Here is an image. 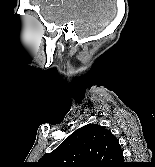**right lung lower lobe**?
Wrapping results in <instances>:
<instances>
[{
    "label": "right lung lower lobe",
    "mask_w": 155,
    "mask_h": 167,
    "mask_svg": "<svg viewBox=\"0 0 155 167\" xmlns=\"http://www.w3.org/2000/svg\"><path fill=\"white\" fill-rule=\"evenodd\" d=\"M127 164L126 163H123L122 165H120V167H126Z\"/></svg>",
    "instance_id": "98d812e1"
}]
</instances>
